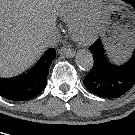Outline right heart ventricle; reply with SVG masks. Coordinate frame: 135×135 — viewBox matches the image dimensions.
<instances>
[{
    "instance_id": "1",
    "label": "right heart ventricle",
    "mask_w": 135,
    "mask_h": 135,
    "mask_svg": "<svg viewBox=\"0 0 135 135\" xmlns=\"http://www.w3.org/2000/svg\"><path fill=\"white\" fill-rule=\"evenodd\" d=\"M87 0H62L58 7V15L65 22H71L82 12Z\"/></svg>"
}]
</instances>
